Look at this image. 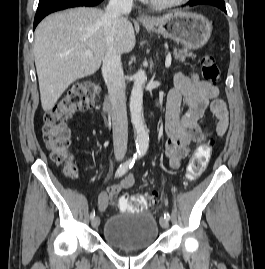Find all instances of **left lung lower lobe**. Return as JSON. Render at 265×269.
I'll list each match as a JSON object with an SVG mask.
<instances>
[{
	"instance_id": "left-lung-lower-lobe-1",
	"label": "left lung lower lobe",
	"mask_w": 265,
	"mask_h": 269,
	"mask_svg": "<svg viewBox=\"0 0 265 269\" xmlns=\"http://www.w3.org/2000/svg\"><path fill=\"white\" fill-rule=\"evenodd\" d=\"M200 4H208L213 5L220 8L222 11L226 12L224 0H193L189 3L190 6L200 5Z\"/></svg>"
}]
</instances>
